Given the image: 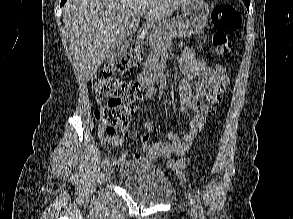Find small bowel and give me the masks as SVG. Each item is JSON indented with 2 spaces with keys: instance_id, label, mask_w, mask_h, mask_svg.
I'll list each match as a JSON object with an SVG mask.
<instances>
[{
  "instance_id": "small-bowel-1",
  "label": "small bowel",
  "mask_w": 293,
  "mask_h": 219,
  "mask_svg": "<svg viewBox=\"0 0 293 219\" xmlns=\"http://www.w3.org/2000/svg\"><path fill=\"white\" fill-rule=\"evenodd\" d=\"M180 69L184 75L179 84L180 110L182 113L192 115L189 129L181 139L174 138L169 142L149 144V136L154 131V122L146 121L144 128L147 133L142 134L139 138L146 155L135 154L132 159H128V151L123 150L120 155L113 157L119 167L148 164L158 157H167L169 154H186L196 135L203 130L207 117L214 114L216 105L221 102L224 88L229 82L228 77L207 66L206 62L198 58L188 47L182 51ZM192 78H197L194 87L190 83ZM155 95L154 88H147L143 93V98H153ZM97 134L101 144L106 148L119 146L130 135L128 127L122 129V136L108 135L101 125L97 128Z\"/></svg>"
}]
</instances>
